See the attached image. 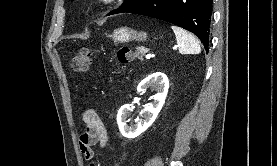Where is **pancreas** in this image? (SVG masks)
I'll use <instances>...</instances> for the list:
<instances>
[{"instance_id": "obj_1", "label": "pancreas", "mask_w": 277, "mask_h": 166, "mask_svg": "<svg viewBox=\"0 0 277 166\" xmlns=\"http://www.w3.org/2000/svg\"><path fill=\"white\" fill-rule=\"evenodd\" d=\"M149 51V49L145 48V47H137L136 51H135V56L138 59L143 60V56L145 55V53H147Z\"/></svg>"}]
</instances>
